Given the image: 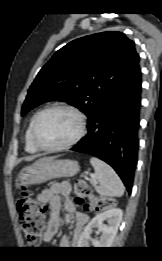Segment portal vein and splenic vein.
Wrapping results in <instances>:
<instances>
[{
	"label": "portal vein and splenic vein",
	"mask_w": 162,
	"mask_h": 261,
	"mask_svg": "<svg viewBox=\"0 0 162 261\" xmlns=\"http://www.w3.org/2000/svg\"><path fill=\"white\" fill-rule=\"evenodd\" d=\"M90 177H91V182H93L94 184H96L97 182L94 180V175H93V174H90Z\"/></svg>",
	"instance_id": "obj_1"
}]
</instances>
